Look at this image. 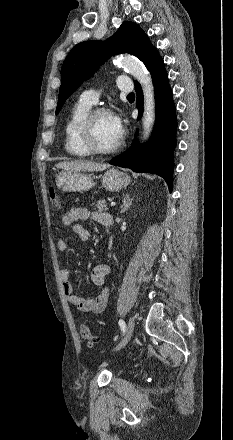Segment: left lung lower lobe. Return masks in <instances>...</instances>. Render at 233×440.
I'll list each match as a JSON object with an SVG mask.
<instances>
[{
	"label": "left lung lower lobe",
	"mask_w": 233,
	"mask_h": 440,
	"mask_svg": "<svg viewBox=\"0 0 233 440\" xmlns=\"http://www.w3.org/2000/svg\"><path fill=\"white\" fill-rule=\"evenodd\" d=\"M147 69L152 75L155 90L156 122L152 136L148 143L142 146L134 140L131 147L113 158L110 164L130 168L135 172L157 174L165 179L171 192L173 151L176 145V109L168 74L158 53L150 60ZM135 89L140 119L143 113V95L138 82H135Z\"/></svg>",
	"instance_id": "0a47b994"
}]
</instances>
